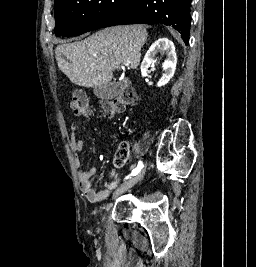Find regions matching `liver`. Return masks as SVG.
I'll return each mask as SVG.
<instances>
[{
    "mask_svg": "<svg viewBox=\"0 0 256 267\" xmlns=\"http://www.w3.org/2000/svg\"><path fill=\"white\" fill-rule=\"evenodd\" d=\"M146 38L143 24L105 28L83 42L57 46L58 68L77 86L108 84L119 66L130 64L136 70Z\"/></svg>",
    "mask_w": 256,
    "mask_h": 267,
    "instance_id": "obj_1",
    "label": "liver"
}]
</instances>
